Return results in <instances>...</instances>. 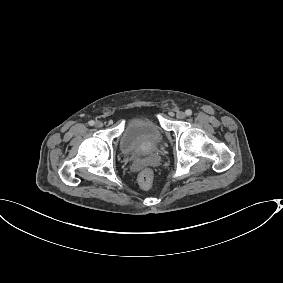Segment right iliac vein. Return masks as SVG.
<instances>
[{"instance_id":"obj_1","label":"right iliac vein","mask_w":283,"mask_h":283,"mask_svg":"<svg viewBox=\"0 0 283 283\" xmlns=\"http://www.w3.org/2000/svg\"><path fill=\"white\" fill-rule=\"evenodd\" d=\"M95 126H96L97 128H101V127H103V122H102V121H96V122H95Z\"/></svg>"}]
</instances>
